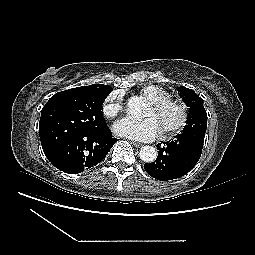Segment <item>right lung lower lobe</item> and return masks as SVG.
<instances>
[{"instance_id":"right-lung-lower-lobe-1","label":"right lung lower lobe","mask_w":255,"mask_h":255,"mask_svg":"<svg viewBox=\"0 0 255 255\" xmlns=\"http://www.w3.org/2000/svg\"><path fill=\"white\" fill-rule=\"evenodd\" d=\"M117 140L105 125L97 132L72 136L48 160L63 172L81 173L101 162Z\"/></svg>"}]
</instances>
